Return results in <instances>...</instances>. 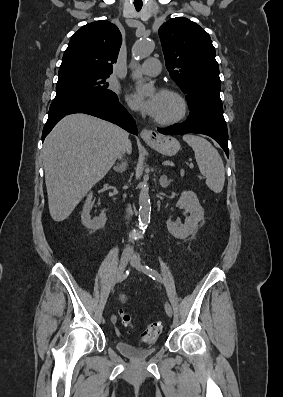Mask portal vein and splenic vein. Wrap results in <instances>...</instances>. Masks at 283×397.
I'll return each mask as SVG.
<instances>
[{
  "instance_id": "obj_1",
  "label": "portal vein and splenic vein",
  "mask_w": 283,
  "mask_h": 397,
  "mask_svg": "<svg viewBox=\"0 0 283 397\" xmlns=\"http://www.w3.org/2000/svg\"><path fill=\"white\" fill-rule=\"evenodd\" d=\"M193 167H194V166H193V164L191 163V164H190V168L192 169Z\"/></svg>"
}]
</instances>
